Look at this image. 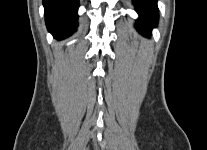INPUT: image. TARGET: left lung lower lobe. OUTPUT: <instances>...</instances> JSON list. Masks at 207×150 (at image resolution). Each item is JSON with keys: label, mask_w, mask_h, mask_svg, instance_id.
I'll return each mask as SVG.
<instances>
[{"label": "left lung lower lobe", "mask_w": 207, "mask_h": 150, "mask_svg": "<svg viewBox=\"0 0 207 150\" xmlns=\"http://www.w3.org/2000/svg\"><path fill=\"white\" fill-rule=\"evenodd\" d=\"M137 13L140 15L136 28L144 36H149L151 28L158 22V7L156 0H133Z\"/></svg>", "instance_id": "0a47b994"}]
</instances>
